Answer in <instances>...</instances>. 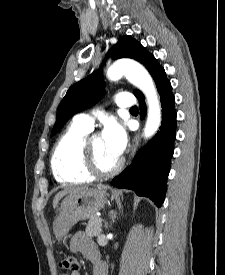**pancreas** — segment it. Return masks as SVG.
<instances>
[{
	"label": "pancreas",
	"instance_id": "cf45deb5",
	"mask_svg": "<svg viewBox=\"0 0 225 275\" xmlns=\"http://www.w3.org/2000/svg\"><path fill=\"white\" fill-rule=\"evenodd\" d=\"M101 231H102V224L99 221V217L96 215H93L88 221L85 232L90 237H97L101 234Z\"/></svg>",
	"mask_w": 225,
	"mask_h": 275
}]
</instances>
